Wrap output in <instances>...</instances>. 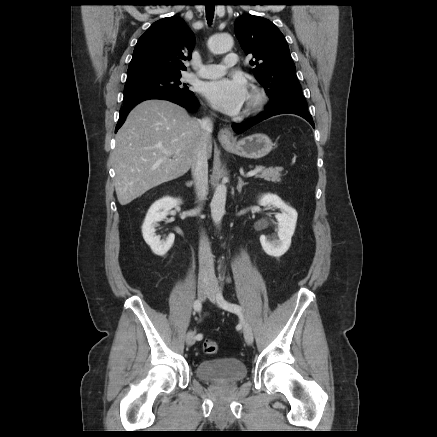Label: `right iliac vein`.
I'll use <instances>...</instances> for the list:
<instances>
[{
    "label": "right iliac vein",
    "instance_id": "right-iliac-vein-1",
    "mask_svg": "<svg viewBox=\"0 0 437 437\" xmlns=\"http://www.w3.org/2000/svg\"><path fill=\"white\" fill-rule=\"evenodd\" d=\"M210 287L207 284H200L198 286V296L201 300H204L210 293ZM195 332L189 331L186 335V344L192 346L195 343Z\"/></svg>",
    "mask_w": 437,
    "mask_h": 437
}]
</instances>
